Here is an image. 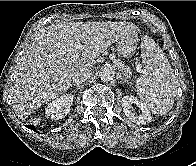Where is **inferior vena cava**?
<instances>
[{
    "label": "inferior vena cava",
    "instance_id": "inferior-vena-cava-1",
    "mask_svg": "<svg viewBox=\"0 0 196 166\" xmlns=\"http://www.w3.org/2000/svg\"><path fill=\"white\" fill-rule=\"evenodd\" d=\"M91 74H92L91 70H81L74 74L73 81L76 84L83 83L90 77Z\"/></svg>",
    "mask_w": 196,
    "mask_h": 166
}]
</instances>
